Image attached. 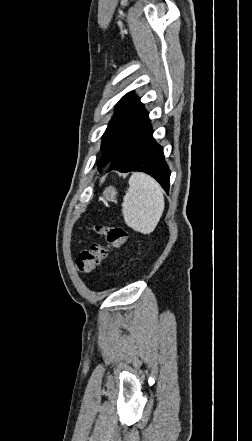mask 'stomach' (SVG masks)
Wrapping results in <instances>:
<instances>
[{
  "label": "stomach",
  "mask_w": 252,
  "mask_h": 441,
  "mask_svg": "<svg viewBox=\"0 0 252 441\" xmlns=\"http://www.w3.org/2000/svg\"><path fill=\"white\" fill-rule=\"evenodd\" d=\"M117 191L114 187L110 186L104 191V198L108 201H113L116 198Z\"/></svg>",
  "instance_id": "obj_1"
}]
</instances>
